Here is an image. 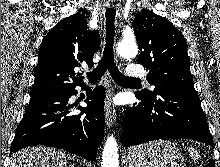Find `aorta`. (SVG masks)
Returning a JSON list of instances; mask_svg holds the SVG:
<instances>
[{
    "label": "aorta",
    "mask_w": 220,
    "mask_h": 167,
    "mask_svg": "<svg viewBox=\"0 0 220 167\" xmlns=\"http://www.w3.org/2000/svg\"><path fill=\"white\" fill-rule=\"evenodd\" d=\"M117 52L124 59L130 60L138 53L134 38L123 39L118 43ZM118 145L113 136L107 138L102 152V167H118Z\"/></svg>",
    "instance_id": "1"
}]
</instances>
